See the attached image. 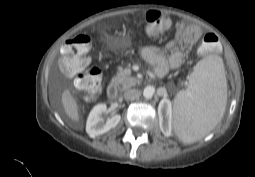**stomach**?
Returning a JSON list of instances; mask_svg holds the SVG:
<instances>
[{
	"mask_svg": "<svg viewBox=\"0 0 255 177\" xmlns=\"http://www.w3.org/2000/svg\"><path fill=\"white\" fill-rule=\"evenodd\" d=\"M129 39L127 37H122L119 39V47L120 48H125L129 45Z\"/></svg>",
	"mask_w": 255,
	"mask_h": 177,
	"instance_id": "0dacf381",
	"label": "stomach"
}]
</instances>
